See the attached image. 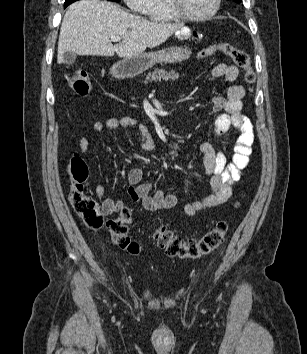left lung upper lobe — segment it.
Here are the masks:
<instances>
[{
    "instance_id": "5c2ea615",
    "label": "left lung upper lobe",
    "mask_w": 307,
    "mask_h": 354,
    "mask_svg": "<svg viewBox=\"0 0 307 354\" xmlns=\"http://www.w3.org/2000/svg\"><path fill=\"white\" fill-rule=\"evenodd\" d=\"M235 2H237V3H241L242 2V0H234Z\"/></svg>"
}]
</instances>
